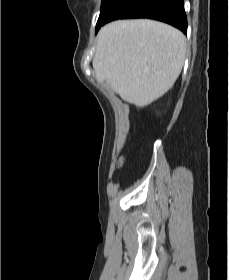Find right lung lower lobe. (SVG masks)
Segmentation results:
<instances>
[{"label":"right lung lower lobe","mask_w":229,"mask_h":280,"mask_svg":"<svg viewBox=\"0 0 229 280\" xmlns=\"http://www.w3.org/2000/svg\"><path fill=\"white\" fill-rule=\"evenodd\" d=\"M123 18H149L168 23L187 33V18L183 0H116L104 20L107 22Z\"/></svg>","instance_id":"obj_1"}]
</instances>
